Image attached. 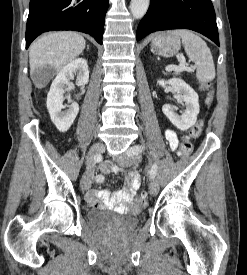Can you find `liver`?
Segmentation results:
<instances>
[{
	"instance_id": "1",
	"label": "liver",
	"mask_w": 247,
	"mask_h": 275,
	"mask_svg": "<svg viewBox=\"0 0 247 275\" xmlns=\"http://www.w3.org/2000/svg\"><path fill=\"white\" fill-rule=\"evenodd\" d=\"M86 41L78 33L60 31L38 38L29 49L30 74L49 66L61 70L67 63L78 57L85 49ZM43 87L41 84H37Z\"/></svg>"
}]
</instances>
